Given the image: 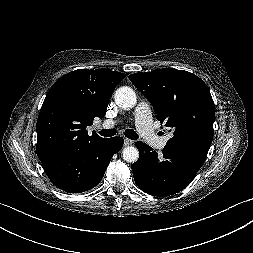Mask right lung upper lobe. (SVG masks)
Here are the masks:
<instances>
[{"mask_svg":"<svg viewBox=\"0 0 253 253\" xmlns=\"http://www.w3.org/2000/svg\"><path fill=\"white\" fill-rule=\"evenodd\" d=\"M126 77L109 69H78L59 78L50 88L39 112L37 155L40 160L71 148L103 140L86 127L103 118L112 93Z\"/></svg>","mask_w":253,"mask_h":253,"instance_id":"1","label":"right lung upper lobe"}]
</instances>
